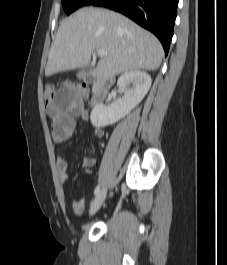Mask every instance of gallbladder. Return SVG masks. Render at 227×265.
<instances>
[{"label": "gallbladder", "instance_id": "obj_1", "mask_svg": "<svg viewBox=\"0 0 227 265\" xmlns=\"http://www.w3.org/2000/svg\"><path fill=\"white\" fill-rule=\"evenodd\" d=\"M92 70V66L91 65H87L82 69L83 73H88Z\"/></svg>", "mask_w": 227, "mask_h": 265}]
</instances>
